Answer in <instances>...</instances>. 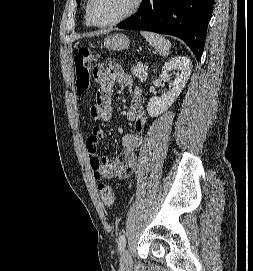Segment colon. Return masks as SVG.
<instances>
[{
  "label": "colon",
  "instance_id": "colon-1",
  "mask_svg": "<svg viewBox=\"0 0 253 271\" xmlns=\"http://www.w3.org/2000/svg\"><path fill=\"white\" fill-rule=\"evenodd\" d=\"M93 55L87 48H80L74 57L75 86L80 94L88 92L91 88L92 75L96 76V70L92 71ZM102 202L110 207L114 204L115 197L112 188L107 184L98 187Z\"/></svg>",
  "mask_w": 253,
  "mask_h": 271
}]
</instances>
